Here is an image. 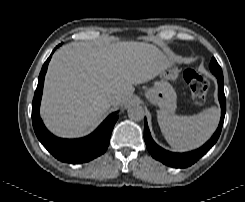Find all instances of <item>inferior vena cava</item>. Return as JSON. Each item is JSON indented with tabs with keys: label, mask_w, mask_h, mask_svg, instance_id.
I'll use <instances>...</instances> for the list:
<instances>
[{
	"label": "inferior vena cava",
	"mask_w": 245,
	"mask_h": 202,
	"mask_svg": "<svg viewBox=\"0 0 245 202\" xmlns=\"http://www.w3.org/2000/svg\"><path fill=\"white\" fill-rule=\"evenodd\" d=\"M118 100V96L117 95H112L109 97V102L110 104H116Z\"/></svg>",
	"instance_id": "602c4592"
}]
</instances>
